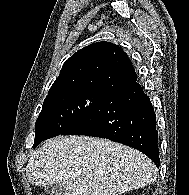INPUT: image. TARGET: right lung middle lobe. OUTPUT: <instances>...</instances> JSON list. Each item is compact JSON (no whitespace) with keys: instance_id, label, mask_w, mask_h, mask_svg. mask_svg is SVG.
<instances>
[{"instance_id":"right-lung-middle-lobe-1","label":"right lung middle lobe","mask_w":189,"mask_h":195,"mask_svg":"<svg viewBox=\"0 0 189 195\" xmlns=\"http://www.w3.org/2000/svg\"><path fill=\"white\" fill-rule=\"evenodd\" d=\"M110 92L71 89L48 94L35 124L33 147L82 121Z\"/></svg>"}]
</instances>
